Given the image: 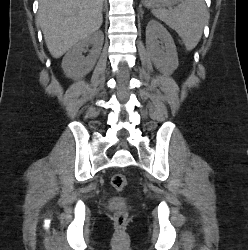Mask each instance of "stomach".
Instances as JSON below:
<instances>
[{"label": "stomach", "mask_w": 248, "mask_h": 250, "mask_svg": "<svg viewBox=\"0 0 248 250\" xmlns=\"http://www.w3.org/2000/svg\"><path fill=\"white\" fill-rule=\"evenodd\" d=\"M179 1L180 0H142L143 4L149 8L169 7L176 4Z\"/></svg>", "instance_id": "obj_1"}]
</instances>
